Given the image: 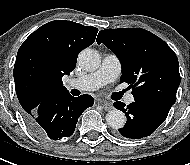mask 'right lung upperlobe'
<instances>
[{
  "label": "right lung upper lobe",
  "mask_w": 190,
  "mask_h": 165,
  "mask_svg": "<svg viewBox=\"0 0 190 165\" xmlns=\"http://www.w3.org/2000/svg\"><path fill=\"white\" fill-rule=\"evenodd\" d=\"M97 32L92 26L55 20L25 40L13 72L23 112L33 111L49 94L66 90L62 77L75 69L78 53L95 41Z\"/></svg>",
  "instance_id": "cb5924a9"
}]
</instances>
